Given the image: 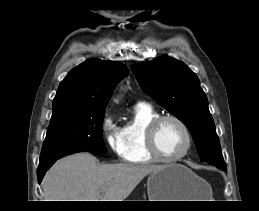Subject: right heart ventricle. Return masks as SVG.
<instances>
[{
    "mask_svg": "<svg viewBox=\"0 0 259 211\" xmlns=\"http://www.w3.org/2000/svg\"><path fill=\"white\" fill-rule=\"evenodd\" d=\"M158 116V112L149 104L138 103L134 107L131 118L120 129L123 144L121 157L124 161L135 164L154 162L146 146L145 131Z\"/></svg>",
    "mask_w": 259,
    "mask_h": 211,
    "instance_id": "obj_1",
    "label": "right heart ventricle"
}]
</instances>
